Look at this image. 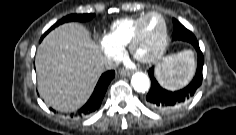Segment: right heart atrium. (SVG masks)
Here are the masks:
<instances>
[{"label":"right heart atrium","mask_w":236,"mask_h":135,"mask_svg":"<svg viewBox=\"0 0 236 135\" xmlns=\"http://www.w3.org/2000/svg\"><path fill=\"white\" fill-rule=\"evenodd\" d=\"M97 42L109 62L112 63L121 57V48L114 45L107 36L97 37Z\"/></svg>","instance_id":"1"}]
</instances>
